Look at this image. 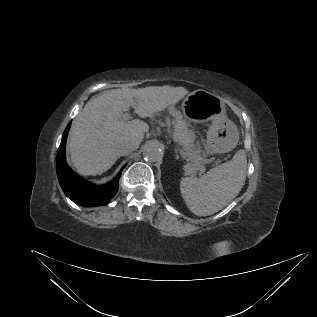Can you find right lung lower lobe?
Masks as SVG:
<instances>
[{
  "instance_id": "obj_1",
  "label": "right lung lower lobe",
  "mask_w": 317,
  "mask_h": 317,
  "mask_svg": "<svg viewBox=\"0 0 317 317\" xmlns=\"http://www.w3.org/2000/svg\"><path fill=\"white\" fill-rule=\"evenodd\" d=\"M71 122L66 127L57 153L56 171L59 183L68 198L84 206H102L107 204L119 188V173L115 179L105 185L95 186L74 173L66 163L65 146Z\"/></svg>"
}]
</instances>
